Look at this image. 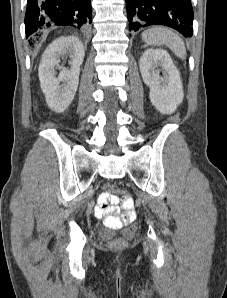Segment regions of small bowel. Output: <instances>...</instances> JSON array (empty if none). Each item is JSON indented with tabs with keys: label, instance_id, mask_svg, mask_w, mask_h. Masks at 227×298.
Instances as JSON below:
<instances>
[{
	"label": "small bowel",
	"instance_id": "small-bowel-1",
	"mask_svg": "<svg viewBox=\"0 0 227 298\" xmlns=\"http://www.w3.org/2000/svg\"><path fill=\"white\" fill-rule=\"evenodd\" d=\"M115 202H117V199H115ZM118 211V208H117ZM95 214L97 217H104L105 216V212L100 208V206L97 204L95 207ZM134 217V212L132 209H128V213L126 218L123 220L124 223H128L132 220V218Z\"/></svg>",
	"mask_w": 227,
	"mask_h": 298
}]
</instances>
